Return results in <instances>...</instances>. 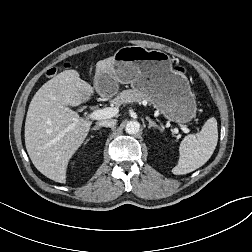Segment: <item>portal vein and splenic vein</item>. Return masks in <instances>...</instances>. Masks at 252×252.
Returning <instances> with one entry per match:
<instances>
[{"label":"portal vein and splenic vein","instance_id":"portal-vein-and-splenic-vein-1","mask_svg":"<svg viewBox=\"0 0 252 252\" xmlns=\"http://www.w3.org/2000/svg\"><path fill=\"white\" fill-rule=\"evenodd\" d=\"M119 110L116 107H108L104 109H98L89 114V118L93 120H101L114 117L118 114ZM183 132L189 133L190 129L186 127H181Z\"/></svg>","mask_w":252,"mask_h":252}]
</instances>
